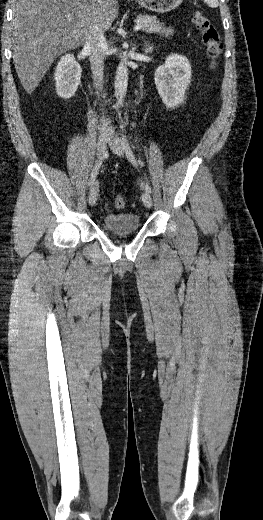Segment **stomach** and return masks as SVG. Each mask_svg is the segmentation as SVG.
I'll return each mask as SVG.
<instances>
[{
  "mask_svg": "<svg viewBox=\"0 0 263 520\" xmlns=\"http://www.w3.org/2000/svg\"><path fill=\"white\" fill-rule=\"evenodd\" d=\"M147 10L156 13L170 12L182 3L183 0H137Z\"/></svg>",
  "mask_w": 263,
  "mask_h": 520,
  "instance_id": "obj_1",
  "label": "stomach"
}]
</instances>
